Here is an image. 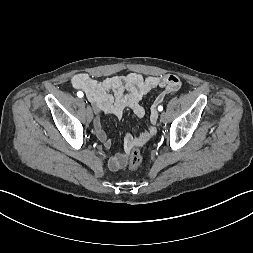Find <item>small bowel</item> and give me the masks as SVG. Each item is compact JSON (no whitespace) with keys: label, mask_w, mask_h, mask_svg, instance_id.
Segmentation results:
<instances>
[{"label":"small bowel","mask_w":253,"mask_h":253,"mask_svg":"<svg viewBox=\"0 0 253 253\" xmlns=\"http://www.w3.org/2000/svg\"><path fill=\"white\" fill-rule=\"evenodd\" d=\"M71 84L73 88L84 91L93 105L96 112L95 134L106 148H110L112 142L102 127L100 118L102 113L121 118L125 109H131L137 117L142 118L145 116V109L141 105V100L146 94L156 87H161L162 91L156 97V103H160L167 94L177 92L182 86L179 77L174 74L144 77L138 73L111 76L102 81L95 80L87 73H78L72 77ZM157 118L156 108H153L149 116L148 129L139 136L126 135L124 152L116 154L109 160L111 170L116 171L123 168L126 165L129 151L136 146L146 144L154 137Z\"/></svg>","instance_id":"obj_1"}]
</instances>
